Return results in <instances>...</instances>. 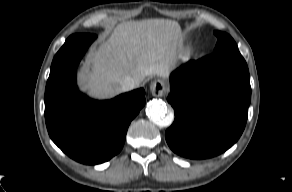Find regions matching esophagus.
I'll return each instance as SVG.
<instances>
[{"mask_svg": "<svg viewBox=\"0 0 292 192\" xmlns=\"http://www.w3.org/2000/svg\"><path fill=\"white\" fill-rule=\"evenodd\" d=\"M150 91L153 96L162 97L167 91L165 81L162 79L152 81L150 84Z\"/></svg>", "mask_w": 292, "mask_h": 192, "instance_id": "esophagus-1", "label": "esophagus"}]
</instances>
